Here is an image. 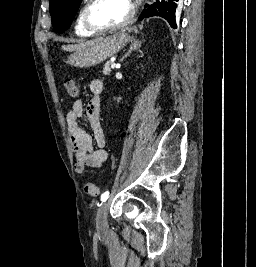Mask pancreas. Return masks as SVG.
Instances as JSON below:
<instances>
[{"label": "pancreas", "mask_w": 256, "mask_h": 267, "mask_svg": "<svg viewBox=\"0 0 256 267\" xmlns=\"http://www.w3.org/2000/svg\"><path fill=\"white\" fill-rule=\"evenodd\" d=\"M111 70L109 68V64H105L103 68V74H110Z\"/></svg>", "instance_id": "1"}]
</instances>
